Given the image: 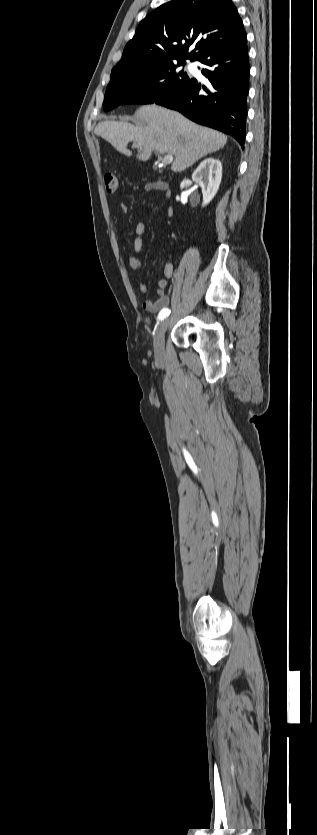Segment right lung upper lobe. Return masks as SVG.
<instances>
[{"instance_id": "obj_1", "label": "right lung upper lobe", "mask_w": 317, "mask_h": 835, "mask_svg": "<svg viewBox=\"0 0 317 835\" xmlns=\"http://www.w3.org/2000/svg\"><path fill=\"white\" fill-rule=\"evenodd\" d=\"M243 39L246 33L232 0H174L140 22L112 71L196 61L211 50ZM192 43L196 46L188 53Z\"/></svg>"}]
</instances>
